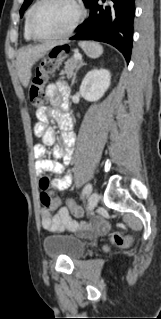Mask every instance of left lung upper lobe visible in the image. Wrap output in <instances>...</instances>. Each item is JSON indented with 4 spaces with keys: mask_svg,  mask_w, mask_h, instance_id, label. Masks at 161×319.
Wrapping results in <instances>:
<instances>
[{
    "mask_svg": "<svg viewBox=\"0 0 161 319\" xmlns=\"http://www.w3.org/2000/svg\"><path fill=\"white\" fill-rule=\"evenodd\" d=\"M32 1H33V0H25V1H24L23 5H22V7H21V9H20V15H21V16L23 15L24 11L27 9V7L31 4ZM89 1H90V0H83L85 6H87V4H88Z\"/></svg>",
    "mask_w": 161,
    "mask_h": 319,
    "instance_id": "obj_1",
    "label": "left lung upper lobe"
}]
</instances>
